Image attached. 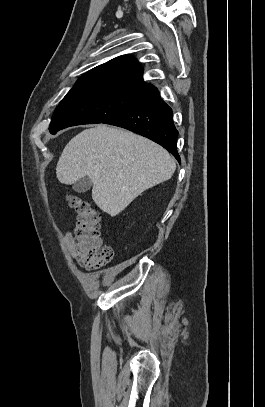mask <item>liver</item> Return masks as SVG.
Listing matches in <instances>:
<instances>
[{
	"label": "liver",
	"mask_w": 265,
	"mask_h": 407,
	"mask_svg": "<svg viewBox=\"0 0 265 407\" xmlns=\"http://www.w3.org/2000/svg\"><path fill=\"white\" fill-rule=\"evenodd\" d=\"M175 160L153 141L99 124L85 129L65 146L56 167L59 182L71 185L88 176L92 199L114 217L137 196L169 180Z\"/></svg>",
	"instance_id": "1"
}]
</instances>
